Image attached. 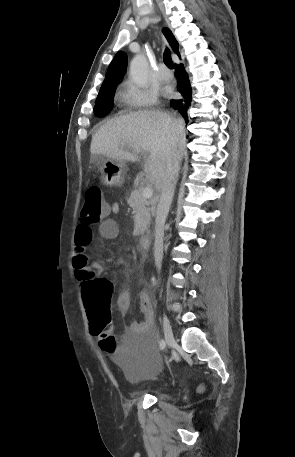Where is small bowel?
Segmentation results:
<instances>
[{
    "instance_id": "small-bowel-1",
    "label": "small bowel",
    "mask_w": 295,
    "mask_h": 457,
    "mask_svg": "<svg viewBox=\"0 0 295 457\" xmlns=\"http://www.w3.org/2000/svg\"><path fill=\"white\" fill-rule=\"evenodd\" d=\"M119 210V204L116 202L112 203L111 205H108L109 214H116L119 212ZM98 230L100 236L105 240L116 239L119 234V227L117 222L109 217H107L99 225ZM92 237L93 235L90 227H86L83 225H79L77 227L75 234L76 254L85 253L87 246L92 242ZM90 268L95 274H101L103 270V267L99 262H93ZM126 275L128 274L126 273ZM130 305L131 293L129 287H126L119 293L116 299V306L120 313L126 314L130 309ZM139 307L143 314V321L133 322L129 327V331L133 335H143L144 338H153L152 327L154 323V311L150 297L145 290H141L139 293Z\"/></svg>"
}]
</instances>
